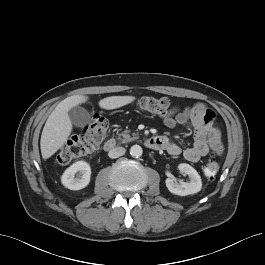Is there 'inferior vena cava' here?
I'll use <instances>...</instances> for the list:
<instances>
[{"mask_svg":"<svg viewBox=\"0 0 265 265\" xmlns=\"http://www.w3.org/2000/svg\"><path fill=\"white\" fill-rule=\"evenodd\" d=\"M125 152H126V150L124 147H115L109 151L108 156L110 158H118V157L124 155Z\"/></svg>","mask_w":265,"mask_h":265,"instance_id":"1","label":"inferior vena cava"}]
</instances>
